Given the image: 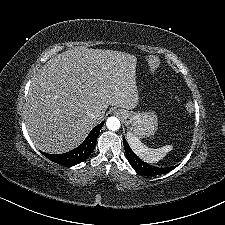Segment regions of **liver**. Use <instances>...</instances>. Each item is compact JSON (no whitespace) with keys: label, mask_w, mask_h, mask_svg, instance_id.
I'll list each match as a JSON object with an SVG mask.
<instances>
[{"label":"liver","mask_w":225,"mask_h":225,"mask_svg":"<svg viewBox=\"0 0 225 225\" xmlns=\"http://www.w3.org/2000/svg\"><path fill=\"white\" fill-rule=\"evenodd\" d=\"M136 63L129 53L84 47L47 61L32 78L23 112L35 147L50 154L68 152L86 138L109 106L135 108ZM90 110L100 115L91 118Z\"/></svg>","instance_id":"6515ba94"}]
</instances>
